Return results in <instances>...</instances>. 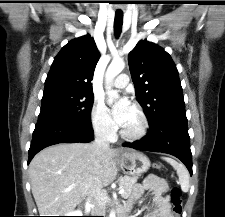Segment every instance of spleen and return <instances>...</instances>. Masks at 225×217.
Masks as SVG:
<instances>
[{
    "mask_svg": "<svg viewBox=\"0 0 225 217\" xmlns=\"http://www.w3.org/2000/svg\"><path fill=\"white\" fill-rule=\"evenodd\" d=\"M162 159L168 162L176 170L181 189L183 192H187L189 190V173L186 167L172 158L162 157Z\"/></svg>",
    "mask_w": 225,
    "mask_h": 217,
    "instance_id": "3e777b00",
    "label": "spleen"
}]
</instances>
